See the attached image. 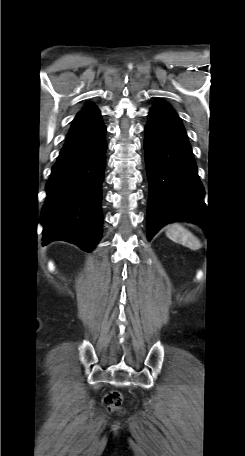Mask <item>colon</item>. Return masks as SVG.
I'll list each match as a JSON object with an SVG mask.
<instances>
[{"label":"colon","mask_w":245,"mask_h":456,"mask_svg":"<svg viewBox=\"0 0 245 456\" xmlns=\"http://www.w3.org/2000/svg\"><path fill=\"white\" fill-rule=\"evenodd\" d=\"M122 405V394L118 390L109 391L103 398L102 407L107 412L119 411Z\"/></svg>","instance_id":"obj_1"}]
</instances>
